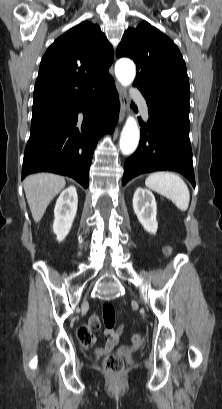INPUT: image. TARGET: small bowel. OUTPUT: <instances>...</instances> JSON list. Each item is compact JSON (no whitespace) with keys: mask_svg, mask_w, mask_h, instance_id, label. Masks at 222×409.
I'll return each instance as SVG.
<instances>
[{"mask_svg":"<svg viewBox=\"0 0 222 409\" xmlns=\"http://www.w3.org/2000/svg\"><path fill=\"white\" fill-rule=\"evenodd\" d=\"M86 327L88 328V332L91 335L90 339L88 342L83 343L84 346L86 347H90L94 344L96 338L93 336L92 332L94 330L99 329L100 327V323L98 320V317L96 315L91 316V318L89 319L88 324L86 325ZM122 332V328L118 327L117 329H107L105 330V334L108 337V340L105 344L104 347L102 348H97L95 351L97 354H104L107 353L111 350H113L119 343L120 340V335Z\"/></svg>","mask_w":222,"mask_h":409,"instance_id":"c3829d8e","label":"small bowel"}]
</instances>
